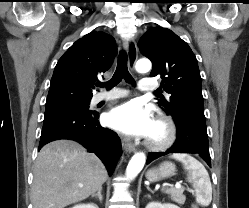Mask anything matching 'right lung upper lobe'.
<instances>
[{"label": "right lung upper lobe", "instance_id": "1", "mask_svg": "<svg viewBox=\"0 0 249 208\" xmlns=\"http://www.w3.org/2000/svg\"><path fill=\"white\" fill-rule=\"evenodd\" d=\"M114 38L93 31L77 40L59 59L54 69L46 108L88 101L97 76L112 65Z\"/></svg>", "mask_w": 249, "mask_h": 208}]
</instances>
